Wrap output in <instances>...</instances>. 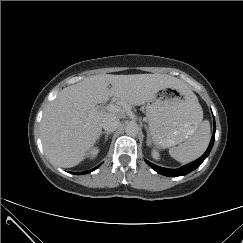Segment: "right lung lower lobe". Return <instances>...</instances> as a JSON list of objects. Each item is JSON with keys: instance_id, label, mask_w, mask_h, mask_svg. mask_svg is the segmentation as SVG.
Returning <instances> with one entry per match:
<instances>
[{"instance_id": "98d812e1", "label": "right lung lower lobe", "mask_w": 243, "mask_h": 243, "mask_svg": "<svg viewBox=\"0 0 243 243\" xmlns=\"http://www.w3.org/2000/svg\"><path fill=\"white\" fill-rule=\"evenodd\" d=\"M100 165L96 166L95 168L91 169V170H88V171H85V172H73V174H76V175H81V174H87V173H90L92 171H94L95 169H97Z\"/></svg>"}]
</instances>
